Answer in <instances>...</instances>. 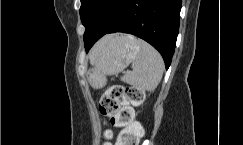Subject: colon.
<instances>
[{
	"instance_id": "colon-1",
	"label": "colon",
	"mask_w": 243,
	"mask_h": 145,
	"mask_svg": "<svg viewBox=\"0 0 243 145\" xmlns=\"http://www.w3.org/2000/svg\"><path fill=\"white\" fill-rule=\"evenodd\" d=\"M145 92L140 87H123L114 85L110 87L102 96L99 109L100 112L109 118L112 125L122 128L115 145H138L143 136L142 126L134 121V110L143 104ZM109 139L111 131L104 134ZM104 145H110L106 142Z\"/></svg>"
}]
</instances>
